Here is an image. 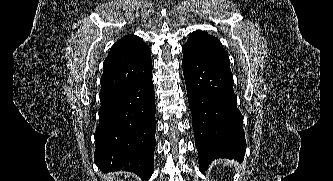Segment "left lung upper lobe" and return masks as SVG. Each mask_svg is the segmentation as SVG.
<instances>
[{
    "label": "left lung upper lobe",
    "mask_w": 333,
    "mask_h": 181,
    "mask_svg": "<svg viewBox=\"0 0 333 181\" xmlns=\"http://www.w3.org/2000/svg\"><path fill=\"white\" fill-rule=\"evenodd\" d=\"M183 48L230 69V60L221 42L206 32L194 31Z\"/></svg>",
    "instance_id": "5c2ea615"
}]
</instances>
